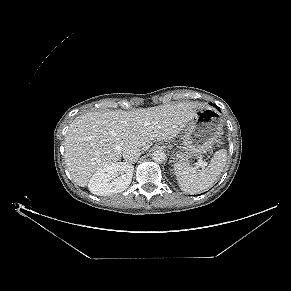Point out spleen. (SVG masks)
Returning a JSON list of instances; mask_svg holds the SVG:
<instances>
[{
    "label": "spleen",
    "mask_w": 291,
    "mask_h": 291,
    "mask_svg": "<svg viewBox=\"0 0 291 291\" xmlns=\"http://www.w3.org/2000/svg\"><path fill=\"white\" fill-rule=\"evenodd\" d=\"M227 151L215 152L206 168L198 169L187 162H179L174 166L176 179L180 189L186 194H198L209 189L224 171Z\"/></svg>",
    "instance_id": "3e777b00"
}]
</instances>
